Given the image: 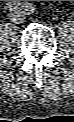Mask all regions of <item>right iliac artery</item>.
Listing matches in <instances>:
<instances>
[{
	"label": "right iliac artery",
	"instance_id": "right-iliac-artery-1",
	"mask_svg": "<svg viewBox=\"0 0 74 122\" xmlns=\"http://www.w3.org/2000/svg\"><path fill=\"white\" fill-rule=\"evenodd\" d=\"M27 5V4H26ZM26 5L24 6L22 3H20L19 1H10L6 4V7L10 10V11H14L17 9H22L25 8Z\"/></svg>",
	"mask_w": 74,
	"mask_h": 122
}]
</instances>
